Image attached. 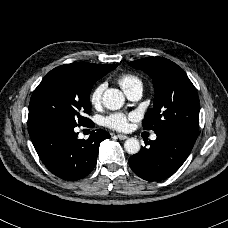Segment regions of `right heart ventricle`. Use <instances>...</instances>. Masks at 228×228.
<instances>
[{
    "label": "right heart ventricle",
    "instance_id": "right-heart-ventricle-1",
    "mask_svg": "<svg viewBox=\"0 0 228 228\" xmlns=\"http://www.w3.org/2000/svg\"><path fill=\"white\" fill-rule=\"evenodd\" d=\"M117 81L124 92L130 91L138 85H142V80L133 73H122L118 75Z\"/></svg>",
    "mask_w": 228,
    "mask_h": 228
}]
</instances>
